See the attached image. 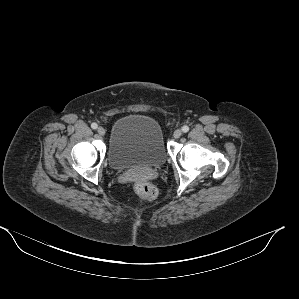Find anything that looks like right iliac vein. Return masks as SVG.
<instances>
[{
	"label": "right iliac vein",
	"mask_w": 299,
	"mask_h": 299,
	"mask_svg": "<svg viewBox=\"0 0 299 299\" xmlns=\"http://www.w3.org/2000/svg\"><path fill=\"white\" fill-rule=\"evenodd\" d=\"M97 132L99 135L104 136L106 133V130L103 127H98Z\"/></svg>",
	"instance_id": "63e3f726"
}]
</instances>
